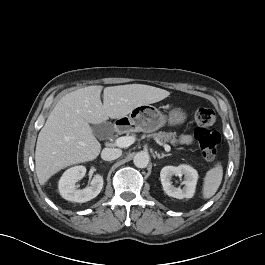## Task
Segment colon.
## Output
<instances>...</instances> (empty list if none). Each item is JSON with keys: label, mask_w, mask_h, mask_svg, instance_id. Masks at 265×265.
<instances>
[{"label": "colon", "mask_w": 265, "mask_h": 265, "mask_svg": "<svg viewBox=\"0 0 265 265\" xmlns=\"http://www.w3.org/2000/svg\"><path fill=\"white\" fill-rule=\"evenodd\" d=\"M194 119L197 125L195 138L199 143L201 153L205 160L213 162L221 142V135L214 128L216 114L210 108L200 107L195 110Z\"/></svg>", "instance_id": "obj_1"}]
</instances>
